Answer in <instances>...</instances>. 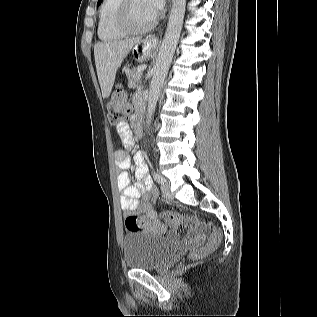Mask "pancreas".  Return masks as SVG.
Masks as SVG:
<instances>
[{"instance_id":"cf45deb5","label":"pancreas","mask_w":317,"mask_h":317,"mask_svg":"<svg viewBox=\"0 0 317 317\" xmlns=\"http://www.w3.org/2000/svg\"><path fill=\"white\" fill-rule=\"evenodd\" d=\"M128 73L126 74L128 79V87L131 91V88H135L141 80L142 73L138 72V68L128 69Z\"/></svg>"}]
</instances>
